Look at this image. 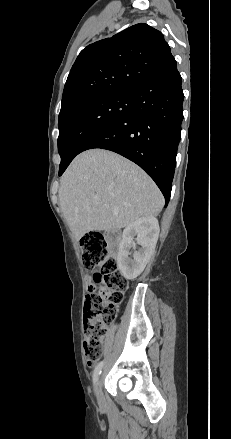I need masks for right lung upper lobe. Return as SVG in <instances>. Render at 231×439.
<instances>
[{
	"label": "right lung upper lobe",
	"mask_w": 231,
	"mask_h": 439,
	"mask_svg": "<svg viewBox=\"0 0 231 439\" xmlns=\"http://www.w3.org/2000/svg\"><path fill=\"white\" fill-rule=\"evenodd\" d=\"M176 65L163 34L140 23L88 45L68 75L60 114L92 97L134 93Z\"/></svg>",
	"instance_id": "obj_1"
}]
</instances>
